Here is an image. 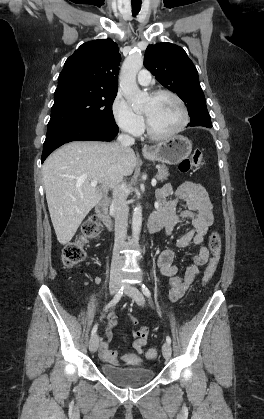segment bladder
I'll return each instance as SVG.
<instances>
[{"label": "bladder", "instance_id": "bladder-1", "mask_svg": "<svg viewBox=\"0 0 264 419\" xmlns=\"http://www.w3.org/2000/svg\"><path fill=\"white\" fill-rule=\"evenodd\" d=\"M100 370L108 380L124 388L140 387L148 384L154 378V371L145 366L120 367L103 363Z\"/></svg>", "mask_w": 264, "mask_h": 419}]
</instances>
